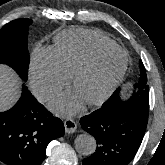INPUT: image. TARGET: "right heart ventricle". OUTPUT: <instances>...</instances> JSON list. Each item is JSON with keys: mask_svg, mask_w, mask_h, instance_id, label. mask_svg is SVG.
Segmentation results:
<instances>
[{"mask_svg": "<svg viewBox=\"0 0 165 165\" xmlns=\"http://www.w3.org/2000/svg\"><path fill=\"white\" fill-rule=\"evenodd\" d=\"M111 46L116 43L98 30L69 29L55 37L51 50L62 69L70 75L92 51Z\"/></svg>", "mask_w": 165, "mask_h": 165, "instance_id": "obj_1", "label": "right heart ventricle"}]
</instances>
